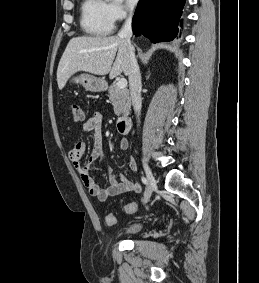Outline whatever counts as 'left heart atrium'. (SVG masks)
I'll list each match as a JSON object with an SVG mask.
<instances>
[{
    "mask_svg": "<svg viewBox=\"0 0 259 283\" xmlns=\"http://www.w3.org/2000/svg\"><path fill=\"white\" fill-rule=\"evenodd\" d=\"M128 2L132 5L136 4L138 2V0H128Z\"/></svg>",
    "mask_w": 259,
    "mask_h": 283,
    "instance_id": "left-heart-atrium-1",
    "label": "left heart atrium"
}]
</instances>
